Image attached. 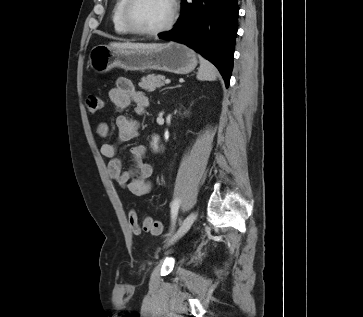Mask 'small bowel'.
<instances>
[{"label": "small bowel", "instance_id": "obj_1", "mask_svg": "<svg viewBox=\"0 0 363 317\" xmlns=\"http://www.w3.org/2000/svg\"><path fill=\"white\" fill-rule=\"evenodd\" d=\"M109 100L112 105L123 110L131 104L136 105L137 113H143L148 106L147 97L137 91L133 83L127 78H119L115 86L109 91ZM116 140L106 142L101 147L102 154L109 158L108 173L118 185L136 196L149 193L152 189L150 178L153 166L146 160L147 148L144 145H135L130 150L133 168L125 169L123 161L118 156V147L121 143L132 140L138 135V122L126 116H119L116 120ZM98 134L103 138L111 136V128L101 122L97 126Z\"/></svg>", "mask_w": 363, "mask_h": 317}]
</instances>
